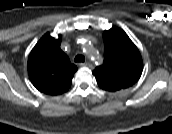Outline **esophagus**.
<instances>
[{
    "label": "esophagus",
    "mask_w": 172,
    "mask_h": 134,
    "mask_svg": "<svg viewBox=\"0 0 172 134\" xmlns=\"http://www.w3.org/2000/svg\"><path fill=\"white\" fill-rule=\"evenodd\" d=\"M80 66L81 67H87V68H90V69L93 68V65L90 62L81 63Z\"/></svg>",
    "instance_id": "1"
}]
</instances>
